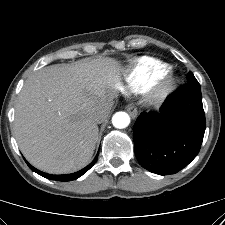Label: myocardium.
Listing matches in <instances>:
<instances>
[{"label": "myocardium", "instance_id": "obj_1", "mask_svg": "<svg viewBox=\"0 0 225 225\" xmlns=\"http://www.w3.org/2000/svg\"><path fill=\"white\" fill-rule=\"evenodd\" d=\"M172 90V82L166 79L154 89V91L150 95V100L156 103L161 102L170 95Z\"/></svg>", "mask_w": 225, "mask_h": 225}]
</instances>
